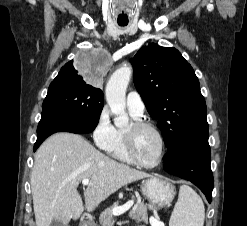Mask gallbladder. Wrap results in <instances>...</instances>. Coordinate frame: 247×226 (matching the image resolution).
Segmentation results:
<instances>
[{
  "label": "gallbladder",
  "mask_w": 247,
  "mask_h": 226,
  "mask_svg": "<svg viewBox=\"0 0 247 226\" xmlns=\"http://www.w3.org/2000/svg\"><path fill=\"white\" fill-rule=\"evenodd\" d=\"M50 226H68V225H64L62 222L57 221V220H53L50 224Z\"/></svg>",
  "instance_id": "bac80fb5"
}]
</instances>
